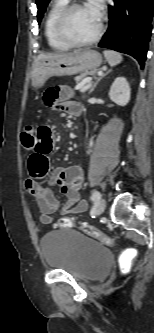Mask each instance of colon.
Here are the masks:
<instances>
[{
    "label": "colon",
    "instance_id": "5ec220e1",
    "mask_svg": "<svg viewBox=\"0 0 154 333\" xmlns=\"http://www.w3.org/2000/svg\"><path fill=\"white\" fill-rule=\"evenodd\" d=\"M34 132L35 126L29 125L21 132V144L25 151H31L34 147ZM58 227L60 228H71L74 226L73 219L68 217H62L58 220L57 223ZM82 231L85 232L87 235L97 239L101 243L105 245H113V239L101 232L96 227L90 224H83ZM136 256L135 249H128L122 259V269L126 272L130 269L132 260Z\"/></svg>",
    "mask_w": 154,
    "mask_h": 333
}]
</instances>
